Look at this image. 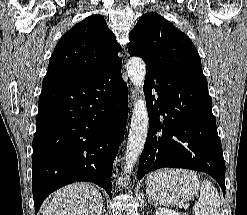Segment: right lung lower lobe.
I'll use <instances>...</instances> for the list:
<instances>
[{"label":"right lung lower lobe","mask_w":247,"mask_h":215,"mask_svg":"<svg viewBox=\"0 0 247 215\" xmlns=\"http://www.w3.org/2000/svg\"><path fill=\"white\" fill-rule=\"evenodd\" d=\"M122 62L84 80L47 74L33 140L32 190L37 213L64 185L89 181L112 197V168L128 117Z\"/></svg>","instance_id":"1"}]
</instances>
